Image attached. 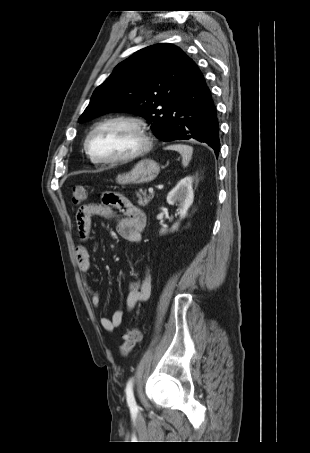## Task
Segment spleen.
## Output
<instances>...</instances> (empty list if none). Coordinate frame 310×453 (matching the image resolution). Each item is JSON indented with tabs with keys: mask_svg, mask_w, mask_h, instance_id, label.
Segmentation results:
<instances>
[{
	"mask_svg": "<svg viewBox=\"0 0 310 453\" xmlns=\"http://www.w3.org/2000/svg\"><path fill=\"white\" fill-rule=\"evenodd\" d=\"M165 149L179 152L182 156V165L184 167L188 166L193 154V148L191 146L184 144H174L167 146Z\"/></svg>",
	"mask_w": 310,
	"mask_h": 453,
	"instance_id": "1",
	"label": "spleen"
}]
</instances>
